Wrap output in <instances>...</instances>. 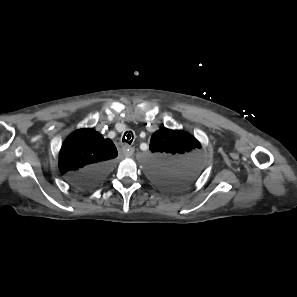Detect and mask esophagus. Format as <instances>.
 I'll return each instance as SVG.
<instances>
[{
  "label": "esophagus",
  "mask_w": 297,
  "mask_h": 297,
  "mask_svg": "<svg viewBox=\"0 0 297 297\" xmlns=\"http://www.w3.org/2000/svg\"><path fill=\"white\" fill-rule=\"evenodd\" d=\"M122 150L126 157H130L134 153V148L129 145H123Z\"/></svg>",
  "instance_id": "esophagus-1"
}]
</instances>
